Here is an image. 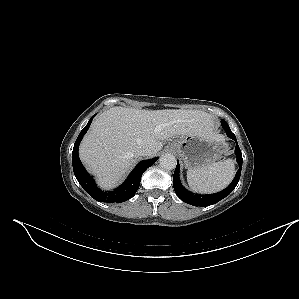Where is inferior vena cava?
Segmentation results:
<instances>
[{
    "mask_svg": "<svg viewBox=\"0 0 299 299\" xmlns=\"http://www.w3.org/2000/svg\"><path fill=\"white\" fill-rule=\"evenodd\" d=\"M151 153V150L148 148H142L137 152L138 156H149Z\"/></svg>",
    "mask_w": 299,
    "mask_h": 299,
    "instance_id": "602c4592",
    "label": "inferior vena cava"
}]
</instances>
